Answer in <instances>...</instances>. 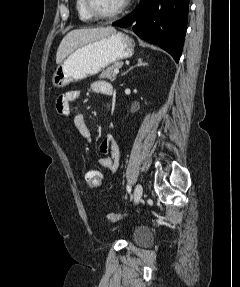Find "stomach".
Here are the masks:
<instances>
[{"label": "stomach", "mask_w": 240, "mask_h": 287, "mask_svg": "<svg viewBox=\"0 0 240 287\" xmlns=\"http://www.w3.org/2000/svg\"><path fill=\"white\" fill-rule=\"evenodd\" d=\"M134 47L133 40L119 31L82 45L57 67L52 83L55 87L63 88L95 75L114 62L130 58L134 54Z\"/></svg>", "instance_id": "0dacf381"}]
</instances>
